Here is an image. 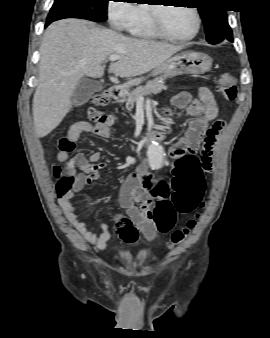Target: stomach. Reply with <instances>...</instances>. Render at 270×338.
<instances>
[{
    "label": "stomach",
    "mask_w": 270,
    "mask_h": 338,
    "mask_svg": "<svg viewBox=\"0 0 270 338\" xmlns=\"http://www.w3.org/2000/svg\"><path fill=\"white\" fill-rule=\"evenodd\" d=\"M212 59L203 53L184 51L171 57L152 71V75L173 77L181 74H204L210 71ZM142 78L135 79L134 84H139Z\"/></svg>",
    "instance_id": "0dacf381"
}]
</instances>
